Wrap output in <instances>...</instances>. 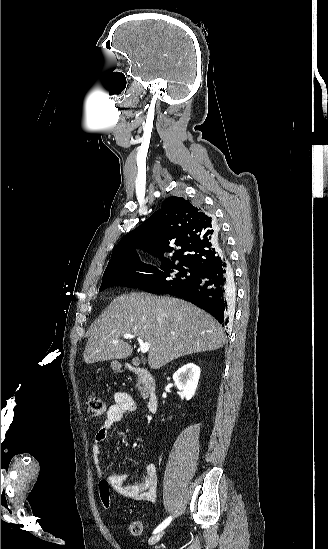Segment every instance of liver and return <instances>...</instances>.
Returning a JSON list of instances; mask_svg holds the SVG:
<instances>
[{
  "label": "liver",
  "mask_w": 328,
  "mask_h": 549,
  "mask_svg": "<svg viewBox=\"0 0 328 549\" xmlns=\"http://www.w3.org/2000/svg\"><path fill=\"white\" fill-rule=\"evenodd\" d=\"M88 335L85 363L127 359L133 349L122 337L136 335L150 345L151 369H160L184 355L216 351L225 343L221 325L209 313L182 299L148 293L113 299L91 325Z\"/></svg>",
  "instance_id": "1"
}]
</instances>
